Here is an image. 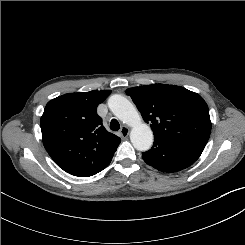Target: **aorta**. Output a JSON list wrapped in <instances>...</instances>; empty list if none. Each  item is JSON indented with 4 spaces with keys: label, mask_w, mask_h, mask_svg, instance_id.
I'll list each match as a JSON object with an SVG mask.
<instances>
[{
    "label": "aorta",
    "mask_w": 245,
    "mask_h": 245,
    "mask_svg": "<svg viewBox=\"0 0 245 245\" xmlns=\"http://www.w3.org/2000/svg\"><path fill=\"white\" fill-rule=\"evenodd\" d=\"M109 109L123 123L131 127L130 139L139 151H147L153 143L150 127L142 121L134 105L121 95H112L108 100Z\"/></svg>",
    "instance_id": "762f6f07"
}]
</instances>
